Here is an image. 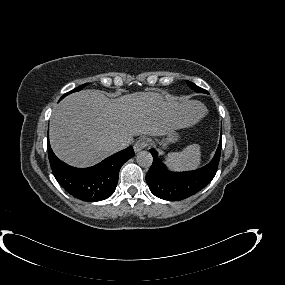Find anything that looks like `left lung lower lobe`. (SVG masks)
I'll use <instances>...</instances> for the list:
<instances>
[{"mask_svg":"<svg viewBox=\"0 0 285 285\" xmlns=\"http://www.w3.org/2000/svg\"><path fill=\"white\" fill-rule=\"evenodd\" d=\"M221 146L220 139L211 162L200 169L187 172L168 171L159 161L157 152L150 149L153 163L146 175V182L151 192L164 200H182L196 194L214 178L220 160Z\"/></svg>","mask_w":285,"mask_h":285,"instance_id":"1","label":"left lung lower lobe"}]
</instances>
